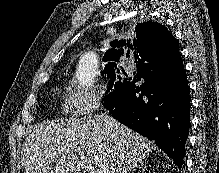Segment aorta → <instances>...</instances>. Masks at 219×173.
Wrapping results in <instances>:
<instances>
[{
  "label": "aorta",
  "mask_w": 219,
  "mask_h": 173,
  "mask_svg": "<svg viewBox=\"0 0 219 173\" xmlns=\"http://www.w3.org/2000/svg\"><path fill=\"white\" fill-rule=\"evenodd\" d=\"M98 70V57L93 52L85 53L79 64L78 78L84 86H91Z\"/></svg>",
  "instance_id": "obj_1"
}]
</instances>
